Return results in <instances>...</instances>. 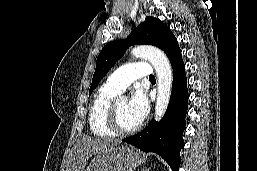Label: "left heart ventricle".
<instances>
[{"label": "left heart ventricle", "instance_id": "obj_1", "mask_svg": "<svg viewBox=\"0 0 257 171\" xmlns=\"http://www.w3.org/2000/svg\"><path fill=\"white\" fill-rule=\"evenodd\" d=\"M117 112L120 125L123 128H132L139 123V121L131 113L129 109V103L127 101H118Z\"/></svg>", "mask_w": 257, "mask_h": 171}]
</instances>
